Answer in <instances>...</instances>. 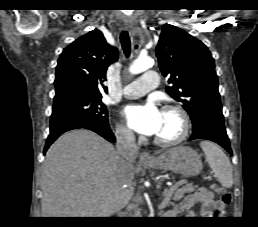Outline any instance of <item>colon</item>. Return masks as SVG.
<instances>
[{"label":"colon","mask_w":258,"mask_h":227,"mask_svg":"<svg viewBox=\"0 0 258 227\" xmlns=\"http://www.w3.org/2000/svg\"><path fill=\"white\" fill-rule=\"evenodd\" d=\"M212 189L220 195L221 197V202L224 204V205H228L230 204L231 200H232V196L231 194L224 188L222 187H219L217 185H214L212 187Z\"/></svg>","instance_id":"colon-1"}]
</instances>
